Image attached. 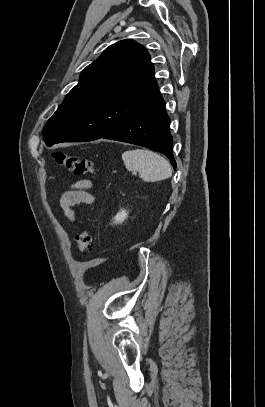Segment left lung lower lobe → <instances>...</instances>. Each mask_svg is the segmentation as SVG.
<instances>
[{"mask_svg":"<svg viewBox=\"0 0 265 407\" xmlns=\"http://www.w3.org/2000/svg\"><path fill=\"white\" fill-rule=\"evenodd\" d=\"M170 118L161 98L153 106L129 119L102 138L141 145L164 153L174 168L176 162L172 151Z\"/></svg>","mask_w":265,"mask_h":407,"instance_id":"obj_1","label":"left lung lower lobe"}]
</instances>
